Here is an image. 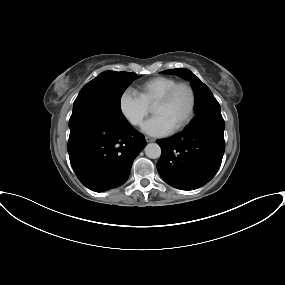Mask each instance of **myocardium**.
I'll use <instances>...</instances> for the list:
<instances>
[{
    "mask_svg": "<svg viewBox=\"0 0 285 285\" xmlns=\"http://www.w3.org/2000/svg\"><path fill=\"white\" fill-rule=\"evenodd\" d=\"M181 88H185L189 91L191 97V104L189 112L185 119L179 125L172 129L173 133H177L187 127L195 116L197 108V94L194 87L188 82H177L170 89H168L166 93L153 106V108H155L157 106H163L168 104L172 100L175 93Z\"/></svg>",
    "mask_w": 285,
    "mask_h": 285,
    "instance_id": "1",
    "label": "myocardium"
}]
</instances>
